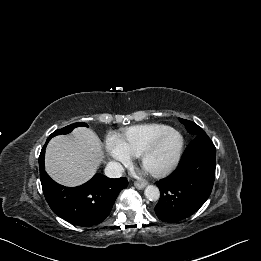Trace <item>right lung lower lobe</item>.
I'll list each match as a JSON object with an SVG mask.
<instances>
[{"label": "right lung lower lobe", "instance_id": "1", "mask_svg": "<svg viewBox=\"0 0 261 261\" xmlns=\"http://www.w3.org/2000/svg\"><path fill=\"white\" fill-rule=\"evenodd\" d=\"M39 156L40 180L50 208L59 217L79 226L90 227L101 223L110 213L119 192L126 188V178L111 179L95 174L85 184L65 187L53 181L44 168L45 147Z\"/></svg>", "mask_w": 261, "mask_h": 261}]
</instances>
